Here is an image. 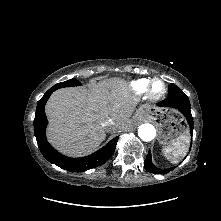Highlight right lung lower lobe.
<instances>
[{
	"label": "right lung lower lobe",
	"instance_id": "obj_1",
	"mask_svg": "<svg viewBox=\"0 0 221 221\" xmlns=\"http://www.w3.org/2000/svg\"><path fill=\"white\" fill-rule=\"evenodd\" d=\"M52 92L54 91L48 90L39 100L34 119V134L40 152L44 158L51 163L72 172H83L106 162L115 151L118 137L113 138L108 144L95 153L82 158H69L61 155L47 142L45 130L48 122L44 108Z\"/></svg>",
	"mask_w": 221,
	"mask_h": 221
}]
</instances>
